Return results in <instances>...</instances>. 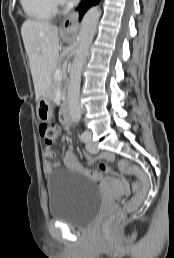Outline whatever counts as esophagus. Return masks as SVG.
<instances>
[{
	"label": "esophagus",
	"instance_id": "obj_1",
	"mask_svg": "<svg viewBox=\"0 0 174 258\" xmlns=\"http://www.w3.org/2000/svg\"><path fill=\"white\" fill-rule=\"evenodd\" d=\"M79 14L78 11H73L70 14H68L63 23L61 30L65 33H76L79 29Z\"/></svg>",
	"mask_w": 174,
	"mask_h": 258
}]
</instances>
